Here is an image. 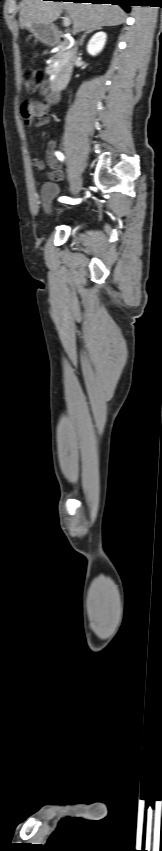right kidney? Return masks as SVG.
<instances>
[{
	"instance_id": "right-kidney-1",
	"label": "right kidney",
	"mask_w": 162,
	"mask_h": 851,
	"mask_svg": "<svg viewBox=\"0 0 162 851\" xmlns=\"http://www.w3.org/2000/svg\"><path fill=\"white\" fill-rule=\"evenodd\" d=\"M106 38H107L106 33H104V32L96 33L89 40V42L87 44V52L90 55L95 56L97 53H99L103 49L105 42H106Z\"/></svg>"
}]
</instances>
